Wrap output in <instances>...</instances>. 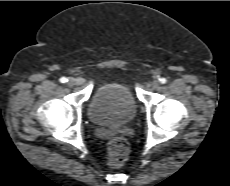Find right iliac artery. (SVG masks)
Segmentation results:
<instances>
[{"label":"right iliac artery","instance_id":"right-iliac-artery-1","mask_svg":"<svg viewBox=\"0 0 230 186\" xmlns=\"http://www.w3.org/2000/svg\"><path fill=\"white\" fill-rule=\"evenodd\" d=\"M67 81H68V79L65 78V77L60 78V82H61V83H66Z\"/></svg>","mask_w":230,"mask_h":186}]
</instances>
